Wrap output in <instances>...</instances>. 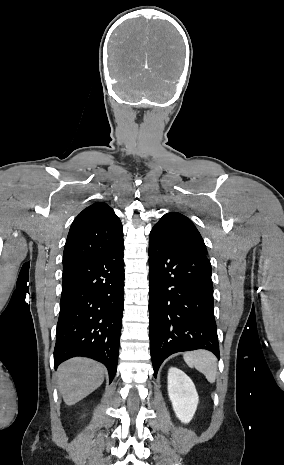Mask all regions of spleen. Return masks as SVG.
Wrapping results in <instances>:
<instances>
[{
  "mask_svg": "<svg viewBox=\"0 0 284 465\" xmlns=\"http://www.w3.org/2000/svg\"><path fill=\"white\" fill-rule=\"evenodd\" d=\"M183 359L188 367H195L205 375L209 383H215L217 377V359L209 351H193L184 353Z\"/></svg>",
  "mask_w": 284,
  "mask_h": 465,
  "instance_id": "1",
  "label": "spleen"
}]
</instances>
